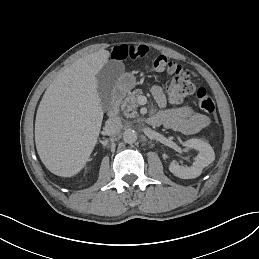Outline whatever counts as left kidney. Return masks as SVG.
<instances>
[{"instance_id": "obj_1", "label": "left kidney", "mask_w": 259, "mask_h": 259, "mask_svg": "<svg viewBox=\"0 0 259 259\" xmlns=\"http://www.w3.org/2000/svg\"><path fill=\"white\" fill-rule=\"evenodd\" d=\"M185 146L199 151L195 162L191 167H184L172 161L169 166L170 172L182 179H192L198 177L203 168L211 164L215 160L213 148L207 142L201 139H189L185 142Z\"/></svg>"}]
</instances>
